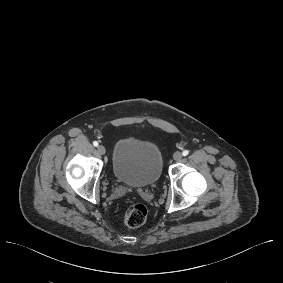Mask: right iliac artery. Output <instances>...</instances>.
I'll use <instances>...</instances> for the list:
<instances>
[{"label":"right iliac artery","mask_w":283,"mask_h":283,"mask_svg":"<svg viewBox=\"0 0 283 283\" xmlns=\"http://www.w3.org/2000/svg\"><path fill=\"white\" fill-rule=\"evenodd\" d=\"M93 145H94L95 147H97V146H98V142H97V141H94V142H93Z\"/></svg>","instance_id":"1"}]
</instances>
